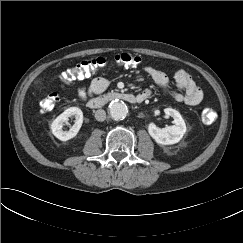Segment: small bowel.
I'll use <instances>...</instances> for the list:
<instances>
[{
    "instance_id": "c3829d8e",
    "label": "small bowel",
    "mask_w": 243,
    "mask_h": 243,
    "mask_svg": "<svg viewBox=\"0 0 243 243\" xmlns=\"http://www.w3.org/2000/svg\"><path fill=\"white\" fill-rule=\"evenodd\" d=\"M144 71L151 77L154 83L164 92L169 89V78L167 75L154 67L148 66ZM174 81L176 83L177 91L173 93V99L176 102L184 103L190 106H195L202 101L203 93L196 85L192 77L184 70H177L174 73ZM109 85V80L105 77L94 78L89 86H82L78 89V95L82 100H86L92 94L103 92ZM150 89H145L139 93L145 99L151 96ZM144 99V100H145Z\"/></svg>"
}]
</instances>
